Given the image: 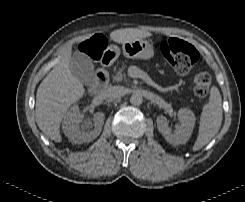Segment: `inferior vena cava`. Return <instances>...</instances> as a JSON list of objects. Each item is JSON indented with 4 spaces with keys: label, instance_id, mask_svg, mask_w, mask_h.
Masks as SVG:
<instances>
[{
    "label": "inferior vena cava",
    "instance_id": "602c4592",
    "mask_svg": "<svg viewBox=\"0 0 245 202\" xmlns=\"http://www.w3.org/2000/svg\"><path fill=\"white\" fill-rule=\"evenodd\" d=\"M104 95L107 98L118 99L125 95V88L122 86H112L105 90Z\"/></svg>",
    "mask_w": 245,
    "mask_h": 202
}]
</instances>
